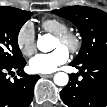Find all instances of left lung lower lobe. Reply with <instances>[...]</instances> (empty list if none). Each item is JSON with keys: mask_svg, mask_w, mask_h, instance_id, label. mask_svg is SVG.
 Listing matches in <instances>:
<instances>
[{"mask_svg": "<svg viewBox=\"0 0 107 107\" xmlns=\"http://www.w3.org/2000/svg\"><path fill=\"white\" fill-rule=\"evenodd\" d=\"M80 70L73 74L69 84L60 92L61 99L68 107L107 106V54L96 56L81 64L71 62Z\"/></svg>", "mask_w": 107, "mask_h": 107, "instance_id": "obj_1", "label": "left lung lower lobe"}]
</instances>
